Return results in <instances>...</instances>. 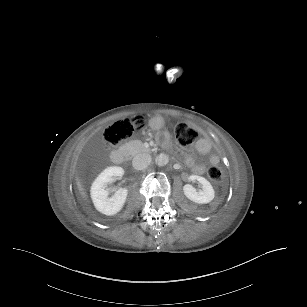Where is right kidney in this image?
Listing matches in <instances>:
<instances>
[{
  "label": "right kidney",
  "instance_id": "obj_1",
  "mask_svg": "<svg viewBox=\"0 0 307 307\" xmlns=\"http://www.w3.org/2000/svg\"><path fill=\"white\" fill-rule=\"evenodd\" d=\"M124 170L121 167H109L105 169L94 181L91 187V198L95 208L102 214L113 216L120 212L128 196L127 188H120L116 194L109 198L107 185L117 181L122 177Z\"/></svg>",
  "mask_w": 307,
  "mask_h": 307
}]
</instances>
